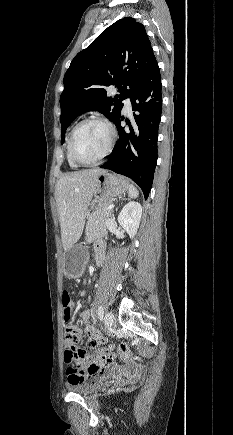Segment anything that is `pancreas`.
Wrapping results in <instances>:
<instances>
[{"instance_id": "1", "label": "pancreas", "mask_w": 233, "mask_h": 435, "mask_svg": "<svg viewBox=\"0 0 233 435\" xmlns=\"http://www.w3.org/2000/svg\"><path fill=\"white\" fill-rule=\"evenodd\" d=\"M110 202H107L88 215L86 224V239L92 240L107 234L106 222L111 217L112 209L108 210Z\"/></svg>"}]
</instances>
